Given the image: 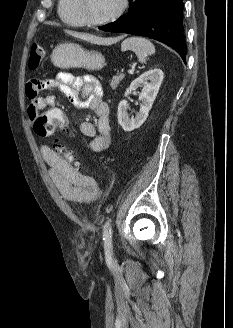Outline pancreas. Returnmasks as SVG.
I'll list each match as a JSON object with an SVG mask.
<instances>
[{"label":"pancreas","mask_w":233,"mask_h":328,"mask_svg":"<svg viewBox=\"0 0 233 328\" xmlns=\"http://www.w3.org/2000/svg\"><path fill=\"white\" fill-rule=\"evenodd\" d=\"M124 78V74H118L113 76L111 82H110V86L112 87V89H115L117 87V85L120 83V81H122Z\"/></svg>","instance_id":"cf45deb5"}]
</instances>
